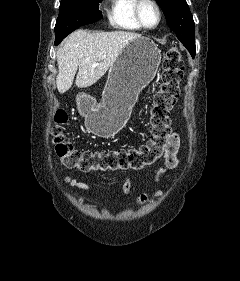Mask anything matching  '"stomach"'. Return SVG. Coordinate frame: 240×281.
I'll use <instances>...</instances> for the list:
<instances>
[{
	"label": "stomach",
	"mask_w": 240,
	"mask_h": 281,
	"mask_svg": "<svg viewBox=\"0 0 240 281\" xmlns=\"http://www.w3.org/2000/svg\"><path fill=\"white\" fill-rule=\"evenodd\" d=\"M161 53L147 37L133 39L110 67L102 102L95 104L85 94L78 98V110L86 128L99 137H111L125 124L139 93L155 77Z\"/></svg>",
	"instance_id": "stomach-1"
}]
</instances>
